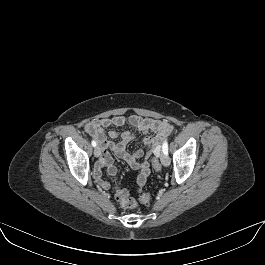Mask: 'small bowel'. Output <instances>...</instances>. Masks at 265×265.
<instances>
[{"instance_id": "obj_1", "label": "small bowel", "mask_w": 265, "mask_h": 265, "mask_svg": "<svg viewBox=\"0 0 265 265\" xmlns=\"http://www.w3.org/2000/svg\"><path fill=\"white\" fill-rule=\"evenodd\" d=\"M126 124L132 125L144 133L145 136L142 138V144L144 145L145 150L139 149L133 154L126 151L127 144L135 138V136L129 131L119 133L117 130H111L108 133L109 137L112 139L120 138V141L115 142L107 139L104 128L121 127ZM172 130V125L165 120L138 115H132L129 117L116 115L88 122L85 126V131L91 137L96 139L103 148L100 162L95 168V178L97 183L103 189L109 188V183L102 179V168L106 167L111 176H115L117 172L113 159L107 152V149H110L118 158L126 162L128 166L139 171L136 182L138 188H142L146 184L147 178L150 175V163L148 162V158L152 154L159 152L161 142L171 134Z\"/></svg>"}]
</instances>
